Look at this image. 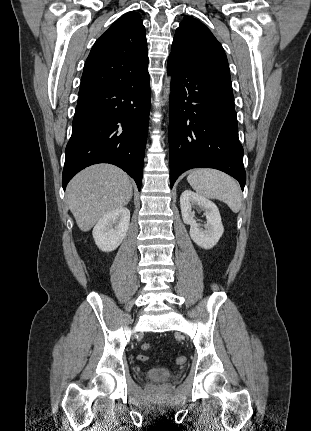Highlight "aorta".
<instances>
[{"mask_svg":"<svg viewBox=\"0 0 311 431\" xmlns=\"http://www.w3.org/2000/svg\"><path fill=\"white\" fill-rule=\"evenodd\" d=\"M167 84H168V86H166L165 96H164L166 102H167L168 96L170 94V86H169V84H170V78H167Z\"/></svg>","mask_w":311,"mask_h":431,"instance_id":"1","label":"aorta"}]
</instances>
